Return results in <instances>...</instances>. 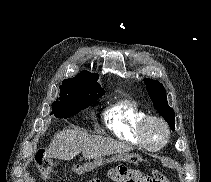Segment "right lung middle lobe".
Returning a JSON list of instances; mask_svg holds the SVG:
<instances>
[{
  "label": "right lung middle lobe",
  "instance_id": "obj_1",
  "mask_svg": "<svg viewBox=\"0 0 211 182\" xmlns=\"http://www.w3.org/2000/svg\"><path fill=\"white\" fill-rule=\"evenodd\" d=\"M104 93L64 80L60 97L52 103V113L57 118H69L96 102Z\"/></svg>",
  "mask_w": 211,
  "mask_h": 182
}]
</instances>
